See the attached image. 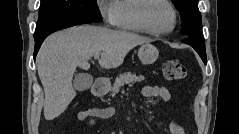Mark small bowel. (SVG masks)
Here are the masks:
<instances>
[{
	"mask_svg": "<svg viewBox=\"0 0 239 134\" xmlns=\"http://www.w3.org/2000/svg\"><path fill=\"white\" fill-rule=\"evenodd\" d=\"M142 95L147 98H158L163 101H168L171 98V93L167 87L148 85L142 89ZM116 110L114 107H94L85 111H80L77 115L78 121L83 122L89 117L98 119H109L114 116ZM171 134H184V129L176 122L170 125Z\"/></svg>",
	"mask_w": 239,
	"mask_h": 134,
	"instance_id": "1",
	"label": "small bowel"
}]
</instances>
